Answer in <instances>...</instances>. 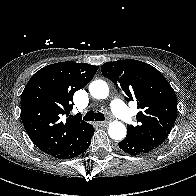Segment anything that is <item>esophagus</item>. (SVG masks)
Masks as SVG:
<instances>
[{
    "instance_id": "obj_1",
    "label": "esophagus",
    "mask_w": 196,
    "mask_h": 196,
    "mask_svg": "<svg viewBox=\"0 0 196 196\" xmlns=\"http://www.w3.org/2000/svg\"><path fill=\"white\" fill-rule=\"evenodd\" d=\"M109 124L108 121H104V122H99L100 126H107Z\"/></svg>"
}]
</instances>
